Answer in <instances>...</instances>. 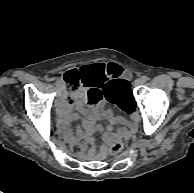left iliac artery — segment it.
<instances>
[{"label": "left iliac artery", "instance_id": "1", "mask_svg": "<svg viewBox=\"0 0 194 193\" xmlns=\"http://www.w3.org/2000/svg\"><path fill=\"white\" fill-rule=\"evenodd\" d=\"M141 80H142V82L144 83V82H146V81L148 80V77H147V76H142V77H141Z\"/></svg>", "mask_w": 194, "mask_h": 193}]
</instances>
